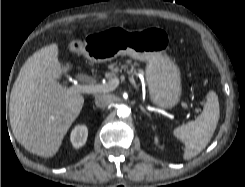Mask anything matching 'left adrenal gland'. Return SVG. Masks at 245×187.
I'll list each match as a JSON object with an SVG mask.
<instances>
[{
    "instance_id": "obj_1",
    "label": "left adrenal gland",
    "mask_w": 245,
    "mask_h": 187,
    "mask_svg": "<svg viewBox=\"0 0 245 187\" xmlns=\"http://www.w3.org/2000/svg\"><path fill=\"white\" fill-rule=\"evenodd\" d=\"M139 107L143 113H145L148 117H150V114L144 109L143 106L140 105Z\"/></svg>"
}]
</instances>
